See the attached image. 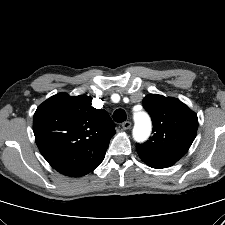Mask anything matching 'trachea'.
Listing matches in <instances>:
<instances>
[{
    "label": "trachea",
    "instance_id": "3493384b",
    "mask_svg": "<svg viewBox=\"0 0 225 225\" xmlns=\"http://www.w3.org/2000/svg\"><path fill=\"white\" fill-rule=\"evenodd\" d=\"M126 118H127L126 112L123 109H117L113 113V120L115 122L122 123L126 120Z\"/></svg>",
    "mask_w": 225,
    "mask_h": 225
}]
</instances>
